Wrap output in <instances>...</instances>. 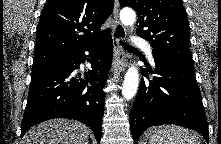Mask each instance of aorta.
Returning a JSON list of instances; mask_svg holds the SVG:
<instances>
[{
  "label": "aorta",
  "mask_w": 221,
  "mask_h": 144,
  "mask_svg": "<svg viewBox=\"0 0 221 144\" xmlns=\"http://www.w3.org/2000/svg\"><path fill=\"white\" fill-rule=\"evenodd\" d=\"M120 20L125 26H131L136 20V14L131 8H124L120 12ZM139 85V73L135 66H131L124 78L122 95L124 99L130 100L137 92Z\"/></svg>",
  "instance_id": "aorta-1"
}]
</instances>
